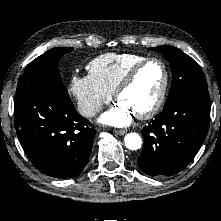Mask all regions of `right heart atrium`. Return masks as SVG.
<instances>
[{
	"instance_id": "obj_1",
	"label": "right heart atrium",
	"mask_w": 221,
	"mask_h": 221,
	"mask_svg": "<svg viewBox=\"0 0 221 221\" xmlns=\"http://www.w3.org/2000/svg\"><path fill=\"white\" fill-rule=\"evenodd\" d=\"M69 92L75 99L79 112L85 117L95 116L112 98V94L99 85L90 74L73 75Z\"/></svg>"
}]
</instances>
